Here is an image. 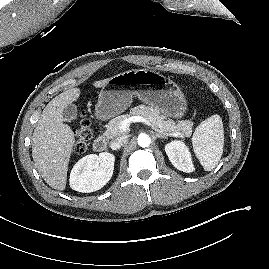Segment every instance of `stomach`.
Masks as SVG:
<instances>
[{"instance_id":"0dacf381","label":"stomach","mask_w":269,"mask_h":269,"mask_svg":"<svg viewBox=\"0 0 269 269\" xmlns=\"http://www.w3.org/2000/svg\"><path fill=\"white\" fill-rule=\"evenodd\" d=\"M133 96L171 118L180 119L187 112L186 97L175 82L152 70L133 69L109 78L102 87L96 117L107 120L124 112Z\"/></svg>"}]
</instances>
